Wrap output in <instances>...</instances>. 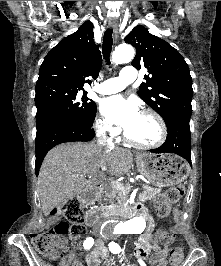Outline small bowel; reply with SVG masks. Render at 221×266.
Returning a JSON list of instances; mask_svg holds the SVG:
<instances>
[{
  "label": "small bowel",
  "instance_id": "1",
  "mask_svg": "<svg viewBox=\"0 0 221 266\" xmlns=\"http://www.w3.org/2000/svg\"><path fill=\"white\" fill-rule=\"evenodd\" d=\"M141 216L144 217L143 214H141ZM150 230L151 225L148 224L146 231L138 237V241L134 247V255L137 258L144 259L151 251V246L149 243ZM152 249L153 254L150 258L151 266H167L169 249L159 245H154ZM102 260L106 262L107 266H115V262L111 255L106 250L101 249L99 246L92 250L87 256V263L89 266H99ZM74 266H82V264L80 262H75ZM126 266L135 265L132 262H129Z\"/></svg>",
  "mask_w": 221,
  "mask_h": 266
}]
</instances>
